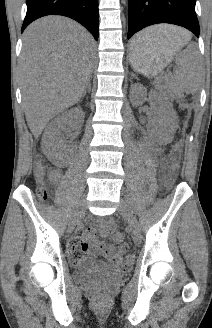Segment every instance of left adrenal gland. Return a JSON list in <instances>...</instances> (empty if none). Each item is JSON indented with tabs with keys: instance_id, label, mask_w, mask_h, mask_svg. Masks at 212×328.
<instances>
[{
	"instance_id": "obj_1",
	"label": "left adrenal gland",
	"mask_w": 212,
	"mask_h": 328,
	"mask_svg": "<svg viewBox=\"0 0 212 328\" xmlns=\"http://www.w3.org/2000/svg\"><path fill=\"white\" fill-rule=\"evenodd\" d=\"M132 76H133V77L135 76V77L137 78V76H136L134 73H132Z\"/></svg>"
}]
</instances>
